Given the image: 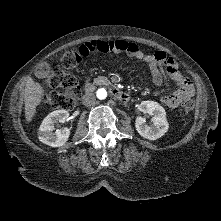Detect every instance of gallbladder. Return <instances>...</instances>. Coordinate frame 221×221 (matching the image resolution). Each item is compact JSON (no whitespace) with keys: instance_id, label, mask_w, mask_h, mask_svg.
<instances>
[{"instance_id":"bac80fb5","label":"gallbladder","mask_w":221,"mask_h":221,"mask_svg":"<svg viewBox=\"0 0 221 221\" xmlns=\"http://www.w3.org/2000/svg\"><path fill=\"white\" fill-rule=\"evenodd\" d=\"M46 72H39L36 76L38 77V78H44L45 76H46Z\"/></svg>"}]
</instances>
